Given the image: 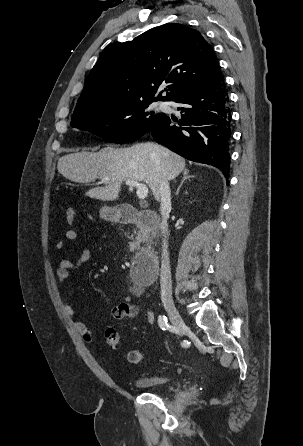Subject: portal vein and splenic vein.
Here are the masks:
<instances>
[{"instance_id": "18ae733b", "label": "portal vein and splenic vein", "mask_w": 303, "mask_h": 446, "mask_svg": "<svg viewBox=\"0 0 303 446\" xmlns=\"http://www.w3.org/2000/svg\"><path fill=\"white\" fill-rule=\"evenodd\" d=\"M109 180H110L109 177L102 178V181L104 182H107ZM126 185L137 188V197L140 200H144L148 196V187L145 184L139 183L138 181L134 180H127Z\"/></svg>"}]
</instances>
